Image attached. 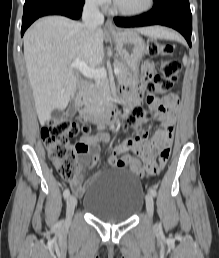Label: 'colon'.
I'll return each mask as SVG.
<instances>
[{
  "instance_id": "colon-1",
  "label": "colon",
  "mask_w": 219,
  "mask_h": 258,
  "mask_svg": "<svg viewBox=\"0 0 219 258\" xmlns=\"http://www.w3.org/2000/svg\"><path fill=\"white\" fill-rule=\"evenodd\" d=\"M148 53L161 58L160 74L147 82L145 88L150 94L165 95L179 80L181 64L173 57V47L169 44L150 41ZM152 118V113L142 106L133 108L128 116L126 129L131 128L144 137L142 124ZM90 132L89 125H80L65 116L50 119L41 130L44 146L60 176L66 180L76 177L79 167L80 144L73 139Z\"/></svg>"
}]
</instances>
